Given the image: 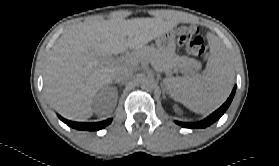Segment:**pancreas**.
<instances>
[{"instance_id":"1","label":"pancreas","mask_w":279,"mask_h":166,"mask_svg":"<svg viewBox=\"0 0 279 166\" xmlns=\"http://www.w3.org/2000/svg\"><path fill=\"white\" fill-rule=\"evenodd\" d=\"M130 65H137L142 61H150L157 70H169L177 65H184L186 70L197 68L198 63L189 58L178 57L174 54L161 52L160 50L147 46L130 55Z\"/></svg>"}]
</instances>
